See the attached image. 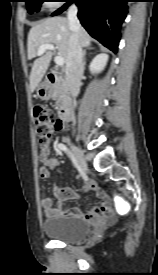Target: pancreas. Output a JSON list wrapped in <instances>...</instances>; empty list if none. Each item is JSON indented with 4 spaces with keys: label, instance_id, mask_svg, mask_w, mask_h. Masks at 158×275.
<instances>
[{
    "label": "pancreas",
    "instance_id": "obj_1",
    "mask_svg": "<svg viewBox=\"0 0 158 275\" xmlns=\"http://www.w3.org/2000/svg\"><path fill=\"white\" fill-rule=\"evenodd\" d=\"M53 95L56 98V103L60 105L68 97V88L65 79L62 76H58L56 82L53 85Z\"/></svg>",
    "mask_w": 158,
    "mask_h": 275
}]
</instances>
